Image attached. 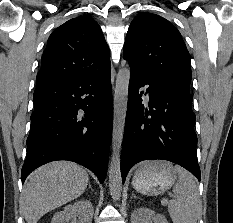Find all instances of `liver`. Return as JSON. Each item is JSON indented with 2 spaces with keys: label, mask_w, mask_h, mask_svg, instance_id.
I'll use <instances>...</instances> for the list:
<instances>
[{
  "label": "liver",
  "mask_w": 233,
  "mask_h": 223,
  "mask_svg": "<svg viewBox=\"0 0 233 223\" xmlns=\"http://www.w3.org/2000/svg\"><path fill=\"white\" fill-rule=\"evenodd\" d=\"M88 181L87 171L72 161H51L35 169L22 191L27 223H37L44 213L82 195Z\"/></svg>",
  "instance_id": "1"
}]
</instances>
